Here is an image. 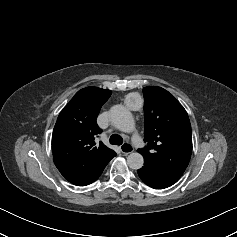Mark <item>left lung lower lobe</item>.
Instances as JSON below:
<instances>
[{
	"label": "left lung lower lobe",
	"instance_id": "left-lung-lower-lobe-1",
	"mask_svg": "<svg viewBox=\"0 0 237 237\" xmlns=\"http://www.w3.org/2000/svg\"><path fill=\"white\" fill-rule=\"evenodd\" d=\"M137 172L141 180L154 189L167 188L173 185L180 178V176L176 174L163 171L145 163Z\"/></svg>",
	"mask_w": 237,
	"mask_h": 237
}]
</instances>
